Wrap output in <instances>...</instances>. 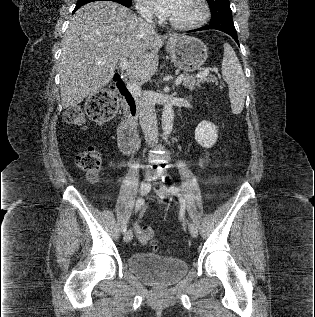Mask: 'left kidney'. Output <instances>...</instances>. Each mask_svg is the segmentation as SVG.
Masks as SVG:
<instances>
[{
  "mask_svg": "<svg viewBox=\"0 0 315 317\" xmlns=\"http://www.w3.org/2000/svg\"><path fill=\"white\" fill-rule=\"evenodd\" d=\"M217 127L208 122L202 121L195 130V140L203 148H211L217 141Z\"/></svg>",
  "mask_w": 315,
  "mask_h": 317,
  "instance_id": "1",
  "label": "left kidney"
}]
</instances>
